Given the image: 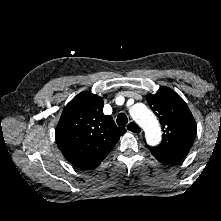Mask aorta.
Instances as JSON below:
<instances>
[{"mask_svg":"<svg viewBox=\"0 0 221 221\" xmlns=\"http://www.w3.org/2000/svg\"><path fill=\"white\" fill-rule=\"evenodd\" d=\"M131 117L144 129L146 142L156 146L161 141V128L154 113L143 104H135L129 109Z\"/></svg>","mask_w":221,"mask_h":221,"instance_id":"762f6f07","label":"aorta"}]
</instances>
